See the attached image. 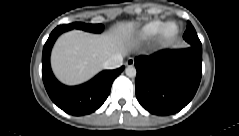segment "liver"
Returning a JSON list of instances; mask_svg holds the SVG:
<instances>
[{
  "mask_svg": "<svg viewBox=\"0 0 239 136\" xmlns=\"http://www.w3.org/2000/svg\"><path fill=\"white\" fill-rule=\"evenodd\" d=\"M134 29L133 22H126L103 35L76 29L63 33L51 52L55 76L68 85L88 81L103 68L106 60L126 50Z\"/></svg>",
  "mask_w": 239,
  "mask_h": 136,
  "instance_id": "1",
  "label": "liver"
}]
</instances>
